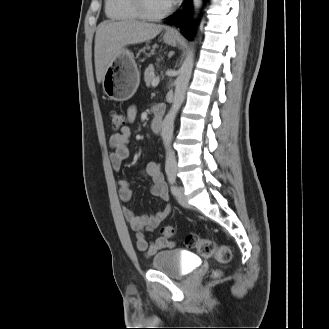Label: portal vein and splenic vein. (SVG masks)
Returning a JSON list of instances; mask_svg holds the SVG:
<instances>
[{"label": "portal vein and splenic vein", "instance_id": "obj_1", "mask_svg": "<svg viewBox=\"0 0 329 329\" xmlns=\"http://www.w3.org/2000/svg\"><path fill=\"white\" fill-rule=\"evenodd\" d=\"M159 81H160L159 77H156V78L153 79L151 85H152L153 87H155V86L158 85Z\"/></svg>", "mask_w": 329, "mask_h": 329}]
</instances>
